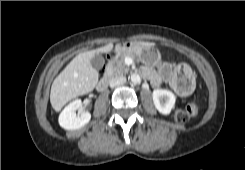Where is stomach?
I'll return each instance as SVG.
<instances>
[{
	"instance_id": "0dacf381",
	"label": "stomach",
	"mask_w": 245,
	"mask_h": 170,
	"mask_svg": "<svg viewBox=\"0 0 245 170\" xmlns=\"http://www.w3.org/2000/svg\"><path fill=\"white\" fill-rule=\"evenodd\" d=\"M117 51H127L137 57L142 63L151 67L160 66L161 64L160 52L153 47H145L136 43H131L129 45L119 46ZM176 70L181 73V77L184 80L190 82V89L188 91H184V93H191L195 87L194 76L191 70L188 67H178Z\"/></svg>"
}]
</instances>
